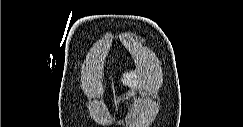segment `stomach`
<instances>
[{
  "label": "stomach",
  "mask_w": 243,
  "mask_h": 127,
  "mask_svg": "<svg viewBox=\"0 0 243 127\" xmlns=\"http://www.w3.org/2000/svg\"><path fill=\"white\" fill-rule=\"evenodd\" d=\"M131 94H132V92H128V94H126V98H127L128 96H130ZM120 99H121V98H119V97H117V96L114 95L113 101H114V103L117 105V103L120 101Z\"/></svg>",
  "instance_id": "1"
}]
</instances>
